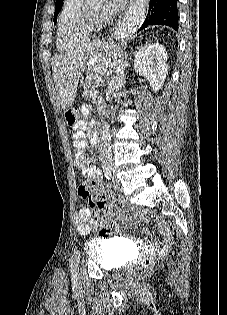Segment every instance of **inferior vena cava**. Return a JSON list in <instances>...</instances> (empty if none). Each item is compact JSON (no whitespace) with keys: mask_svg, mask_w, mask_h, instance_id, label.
Masks as SVG:
<instances>
[{"mask_svg":"<svg viewBox=\"0 0 227 315\" xmlns=\"http://www.w3.org/2000/svg\"><path fill=\"white\" fill-rule=\"evenodd\" d=\"M126 56V54H125ZM125 56H123V54H120L117 60V63L115 65L114 68V73L115 75H113L112 80H111V86L113 88V90L115 91H119L121 89V87L124 84L125 81V74H124V70H125ZM102 162V166L104 167H108L111 168L112 167V162L111 163H107L104 160H101Z\"/></svg>","mask_w":227,"mask_h":315,"instance_id":"obj_1","label":"inferior vena cava"}]
</instances>
